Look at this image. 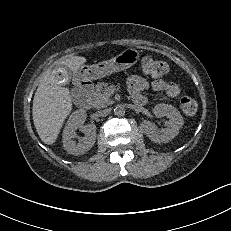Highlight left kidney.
<instances>
[{
	"mask_svg": "<svg viewBox=\"0 0 231 231\" xmlns=\"http://www.w3.org/2000/svg\"><path fill=\"white\" fill-rule=\"evenodd\" d=\"M153 112L156 117H167L165 122V129L160 132L156 131L155 126L150 121H144L141 124L143 132L155 143H167L176 137L180 128L183 126V117L176 108L168 104H157Z\"/></svg>",
	"mask_w": 231,
	"mask_h": 231,
	"instance_id": "1",
	"label": "left kidney"
}]
</instances>
